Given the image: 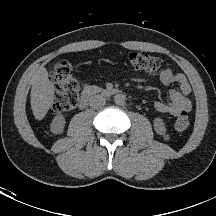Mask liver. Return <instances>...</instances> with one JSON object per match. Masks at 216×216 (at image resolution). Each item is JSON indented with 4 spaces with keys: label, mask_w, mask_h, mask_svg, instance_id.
Wrapping results in <instances>:
<instances>
[{
    "label": "liver",
    "mask_w": 216,
    "mask_h": 216,
    "mask_svg": "<svg viewBox=\"0 0 216 216\" xmlns=\"http://www.w3.org/2000/svg\"><path fill=\"white\" fill-rule=\"evenodd\" d=\"M54 100V85L48 77L46 68L40 67L32 78L31 109L37 120L48 113Z\"/></svg>",
    "instance_id": "1"
}]
</instances>
